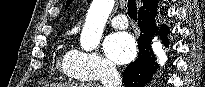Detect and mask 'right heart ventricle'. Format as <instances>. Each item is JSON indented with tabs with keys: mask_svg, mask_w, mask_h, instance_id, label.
Here are the masks:
<instances>
[{
	"mask_svg": "<svg viewBox=\"0 0 205 87\" xmlns=\"http://www.w3.org/2000/svg\"><path fill=\"white\" fill-rule=\"evenodd\" d=\"M74 50L62 49L57 58V64L63 75L69 80L84 81V77L80 76L73 65Z\"/></svg>",
	"mask_w": 205,
	"mask_h": 87,
	"instance_id": "obj_1",
	"label": "right heart ventricle"
}]
</instances>
